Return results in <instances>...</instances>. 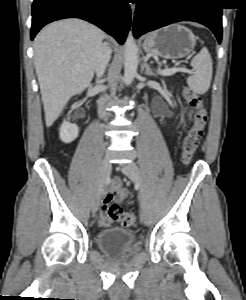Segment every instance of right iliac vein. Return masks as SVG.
I'll return each mask as SVG.
<instances>
[{"instance_id":"1","label":"right iliac vein","mask_w":246,"mask_h":300,"mask_svg":"<svg viewBox=\"0 0 246 300\" xmlns=\"http://www.w3.org/2000/svg\"><path fill=\"white\" fill-rule=\"evenodd\" d=\"M110 172H111V164L108 161V159H104L101 162L99 167L98 179H97V184H96L94 199L92 204L93 214H95L98 211L100 201H101V196H102L103 185L106 179L109 177Z\"/></svg>"}]
</instances>
